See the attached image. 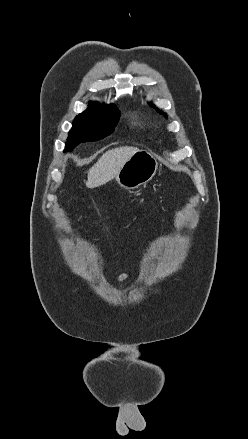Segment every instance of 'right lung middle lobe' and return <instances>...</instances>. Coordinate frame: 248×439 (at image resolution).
<instances>
[{"label": "right lung middle lobe", "instance_id": "dd1d6c3e", "mask_svg": "<svg viewBox=\"0 0 248 439\" xmlns=\"http://www.w3.org/2000/svg\"><path fill=\"white\" fill-rule=\"evenodd\" d=\"M119 121V111L89 107L73 121L65 150H71L81 142L97 141L110 135Z\"/></svg>", "mask_w": 248, "mask_h": 439}]
</instances>
